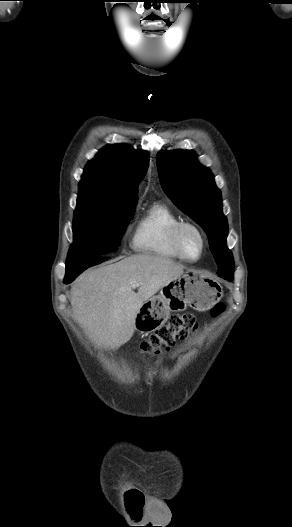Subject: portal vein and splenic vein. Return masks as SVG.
<instances>
[{
	"label": "portal vein and splenic vein",
	"mask_w": 292,
	"mask_h": 527,
	"mask_svg": "<svg viewBox=\"0 0 292 527\" xmlns=\"http://www.w3.org/2000/svg\"><path fill=\"white\" fill-rule=\"evenodd\" d=\"M131 287H132V288H136V287H138V284H136V283H131Z\"/></svg>",
	"instance_id": "obj_1"
}]
</instances>
